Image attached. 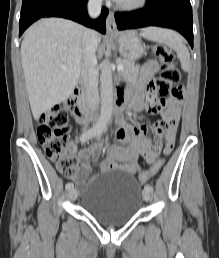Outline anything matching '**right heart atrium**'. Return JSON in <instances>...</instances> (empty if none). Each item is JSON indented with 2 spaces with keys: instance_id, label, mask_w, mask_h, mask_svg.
<instances>
[{
  "instance_id": "1",
  "label": "right heart atrium",
  "mask_w": 219,
  "mask_h": 258,
  "mask_svg": "<svg viewBox=\"0 0 219 258\" xmlns=\"http://www.w3.org/2000/svg\"><path fill=\"white\" fill-rule=\"evenodd\" d=\"M93 4H99L101 0H90Z\"/></svg>"
}]
</instances>
